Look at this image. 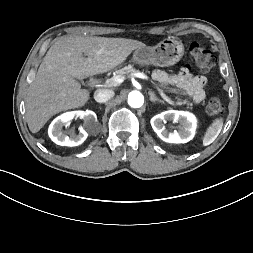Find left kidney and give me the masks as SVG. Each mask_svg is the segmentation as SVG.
Wrapping results in <instances>:
<instances>
[{
	"label": "left kidney",
	"mask_w": 253,
	"mask_h": 253,
	"mask_svg": "<svg viewBox=\"0 0 253 253\" xmlns=\"http://www.w3.org/2000/svg\"><path fill=\"white\" fill-rule=\"evenodd\" d=\"M167 121L179 122L178 130L169 132L164 126ZM151 126L158 137L167 143H186L195 135L196 118L186 111L168 110L154 116L151 119Z\"/></svg>",
	"instance_id": "5707ae66"
}]
</instances>
